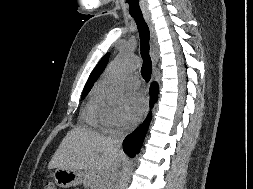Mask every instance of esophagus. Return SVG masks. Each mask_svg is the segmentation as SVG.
Segmentation results:
<instances>
[{
	"instance_id": "obj_1",
	"label": "esophagus",
	"mask_w": 253,
	"mask_h": 189,
	"mask_svg": "<svg viewBox=\"0 0 253 189\" xmlns=\"http://www.w3.org/2000/svg\"><path fill=\"white\" fill-rule=\"evenodd\" d=\"M145 20L150 29V34H151L150 54H151L153 66L155 67L159 61V44H158L155 28L150 17L148 15H145Z\"/></svg>"
}]
</instances>
